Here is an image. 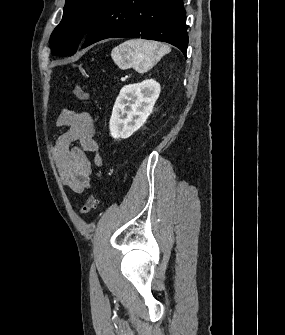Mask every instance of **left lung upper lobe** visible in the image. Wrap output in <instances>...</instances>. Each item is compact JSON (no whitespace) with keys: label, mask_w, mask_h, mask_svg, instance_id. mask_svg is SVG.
Returning <instances> with one entry per match:
<instances>
[{"label":"left lung upper lobe","mask_w":285,"mask_h":335,"mask_svg":"<svg viewBox=\"0 0 285 335\" xmlns=\"http://www.w3.org/2000/svg\"><path fill=\"white\" fill-rule=\"evenodd\" d=\"M109 1L66 0L63 18L50 38L52 53L60 56L73 55Z\"/></svg>","instance_id":"5c2ea615"}]
</instances>
